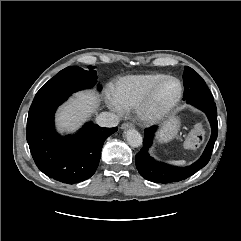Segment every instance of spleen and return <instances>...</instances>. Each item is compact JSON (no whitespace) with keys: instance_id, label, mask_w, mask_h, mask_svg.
I'll list each match as a JSON object with an SVG mask.
<instances>
[{"instance_id":"spleen-1","label":"spleen","mask_w":241,"mask_h":241,"mask_svg":"<svg viewBox=\"0 0 241 241\" xmlns=\"http://www.w3.org/2000/svg\"><path fill=\"white\" fill-rule=\"evenodd\" d=\"M172 163L177 164V165H183V164H185V161L184 160L172 161Z\"/></svg>"}]
</instances>
